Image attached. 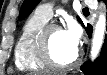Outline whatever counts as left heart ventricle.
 I'll use <instances>...</instances> for the list:
<instances>
[{"instance_id": "1", "label": "left heart ventricle", "mask_w": 107, "mask_h": 75, "mask_svg": "<svg viewBox=\"0 0 107 75\" xmlns=\"http://www.w3.org/2000/svg\"><path fill=\"white\" fill-rule=\"evenodd\" d=\"M50 49L56 62L66 64L74 58L76 51L66 41L62 30L55 29L50 33Z\"/></svg>"}]
</instances>
